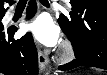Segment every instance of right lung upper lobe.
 I'll use <instances>...</instances> for the list:
<instances>
[{"label":"right lung upper lobe","instance_id":"obj_1","mask_svg":"<svg viewBox=\"0 0 107 75\" xmlns=\"http://www.w3.org/2000/svg\"><path fill=\"white\" fill-rule=\"evenodd\" d=\"M9 2L8 0H0V14H3L6 9L3 7V2ZM10 3H14L13 1H11Z\"/></svg>","mask_w":107,"mask_h":75}]
</instances>
